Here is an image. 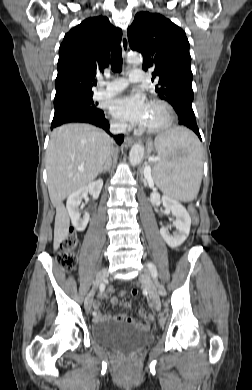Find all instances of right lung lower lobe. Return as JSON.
Here are the masks:
<instances>
[{
	"label": "right lung lower lobe",
	"mask_w": 252,
	"mask_h": 390,
	"mask_svg": "<svg viewBox=\"0 0 252 390\" xmlns=\"http://www.w3.org/2000/svg\"><path fill=\"white\" fill-rule=\"evenodd\" d=\"M70 122L90 123L105 129L112 136V134L109 132V124L103 111L95 112L77 108L56 110L54 113L51 129L61 124ZM114 139L118 144H121L124 140V136L122 134L114 135Z\"/></svg>",
	"instance_id": "98d812e1"
}]
</instances>
